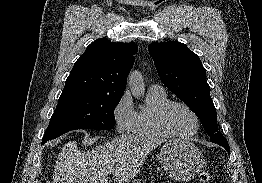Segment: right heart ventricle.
<instances>
[{"instance_id":"right-heart-ventricle-1","label":"right heart ventricle","mask_w":262,"mask_h":183,"mask_svg":"<svg viewBox=\"0 0 262 183\" xmlns=\"http://www.w3.org/2000/svg\"><path fill=\"white\" fill-rule=\"evenodd\" d=\"M170 102L165 90H149L145 105L136 111L133 134L143 138H164L166 135L159 129L158 115L161 109Z\"/></svg>"}]
</instances>
